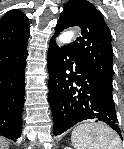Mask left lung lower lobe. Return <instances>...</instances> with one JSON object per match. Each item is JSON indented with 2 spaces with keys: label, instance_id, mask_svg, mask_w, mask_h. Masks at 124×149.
Masks as SVG:
<instances>
[{
  "label": "left lung lower lobe",
  "instance_id": "1",
  "mask_svg": "<svg viewBox=\"0 0 124 149\" xmlns=\"http://www.w3.org/2000/svg\"><path fill=\"white\" fill-rule=\"evenodd\" d=\"M55 34L49 45V103L54 134L60 135L82 120L93 119L111 127L121 139L112 87L97 78L67 45L59 47Z\"/></svg>",
  "mask_w": 124,
  "mask_h": 149
}]
</instances>
